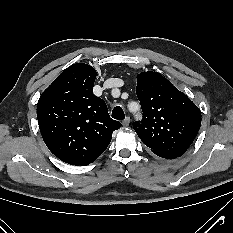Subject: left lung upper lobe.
Masks as SVG:
<instances>
[{"label":"left lung upper lobe","instance_id":"5c2ea615","mask_svg":"<svg viewBox=\"0 0 233 233\" xmlns=\"http://www.w3.org/2000/svg\"><path fill=\"white\" fill-rule=\"evenodd\" d=\"M136 94L143 120L133 128L153 153L179 157L194 141L201 125L198 107L159 73L137 75Z\"/></svg>","mask_w":233,"mask_h":233}]
</instances>
